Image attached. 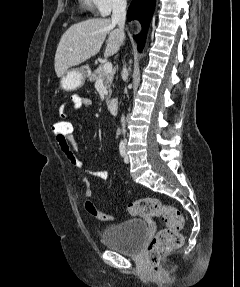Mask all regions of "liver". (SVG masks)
<instances>
[{
  "label": "liver",
  "instance_id": "6515ba94",
  "mask_svg": "<svg viewBox=\"0 0 240 287\" xmlns=\"http://www.w3.org/2000/svg\"><path fill=\"white\" fill-rule=\"evenodd\" d=\"M108 18H93L72 25L61 37L55 54V72L61 77L70 67L79 65L96 55L105 41V55L119 50L122 39L120 29Z\"/></svg>",
  "mask_w": 240,
  "mask_h": 287
}]
</instances>
